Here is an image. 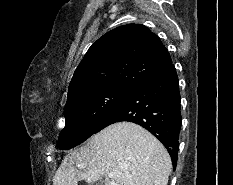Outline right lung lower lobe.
I'll use <instances>...</instances> for the list:
<instances>
[{
    "instance_id": "1",
    "label": "right lung lower lobe",
    "mask_w": 233,
    "mask_h": 185,
    "mask_svg": "<svg viewBox=\"0 0 233 185\" xmlns=\"http://www.w3.org/2000/svg\"><path fill=\"white\" fill-rule=\"evenodd\" d=\"M120 121L137 123L157 137L168 149L175 170L182 117L178 77L172 63L132 88L95 133Z\"/></svg>"
}]
</instances>
